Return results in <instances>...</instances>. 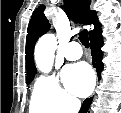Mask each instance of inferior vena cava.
<instances>
[{"instance_id": "1", "label": "inferior vena cava", "mask_w": 121, "mask_h": 113, "mask_svg": "<svg viewBox=\"0 0 121 113\" xmlns=\"http://www.w3.org/2000/svg\"><path fill=\"white\" fill-rule=\"evenodd\" d=\"M81 107V102L79 100H75L72 102L70 113H78Z\"/></svg>"}]
</instances>
